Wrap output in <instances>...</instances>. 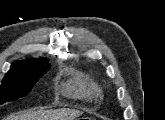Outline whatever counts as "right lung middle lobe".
Wrapping results in <instances>:
<instances>
[{
    "instance_id": "dd1d6c3e",
    "label": "right lung middle lobe",
    "mask_w": 165,
    "mask_h": 120,
    "mask_svg": "<svg viewBox=\"0 0 165 120\" xmlns=\"http://www.w3.org/2000/svg\"><path fill=\"white\" fill-rule=\"evenodd\" d=\"M50 65L24 64L11 67L0 86V104L27 95Z\"/></svg>"
}]
</instances>
